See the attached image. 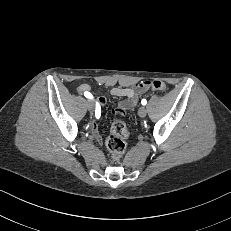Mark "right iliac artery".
Returning a JSON list of instances; mask_svg holds the SVG:
<instances>
[{
  "instance_id": "right-iliac-artery-1",
  "label": "right iliac artery",
  "mask_w": 231,
  "mask_h": 231,
  "mask_svg": "<svg viewBox=\"0 0 231 231\" xmlns=\"http://www.w3.org/2000/svg\"><path fill=\"white\" fill-rule=\"evenodd\" d=\"M84 96L87 97V98H90V99L93 98L92 94L89 93V92H85V93H84ZM100 115H101V108H100V106L96 103V112H95V116H96V118L98 119V118L100 117Z\"/></svg>"
}]
</instances>
